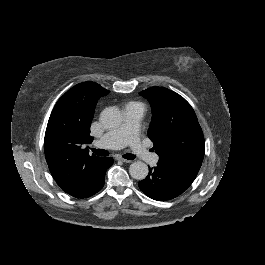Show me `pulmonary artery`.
<instances>
[{"label":"pulmonary artery","instance_id":"1","mask_svg":"<svg viewBox=\"0 0 265 265\" xmlns=\"http://www.w3.org/2000/svg\"><path fill=\"white\" fill-rule=\"evenodd\" d=\"M124 122L118 127L114 135H104L100 139V144L104 148L122 147L125 142H128L130 151L138 156L144 163H153L155 154L140 144L138 122L143 116L142 108L135 106H126L123 108ZM156 160L158 156L156 155Z\"/></svg>","mask_w":265,"mask_h":265}]
</instances>
